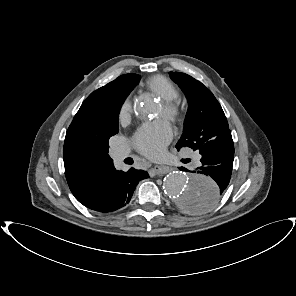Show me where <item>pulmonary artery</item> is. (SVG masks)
<instances>
[{"label":"pulmonary artery","instance_id":"1","mask_svg":"<svg viewBox=\"0 0 296 296\" xmlns=\"http://www.w3.org/2000/svg\"><path fill=\"white\" fill-rule=\"evenodd\" d=\"M129 151L126 147H119V148H116L113 152V157H114V160L119 163L121 162L127 155H128ZM200 159V156L197 155L195 157V160L198 162Z\"/></svg>","mask_w":296,"mask_h":296}]
</instances>
